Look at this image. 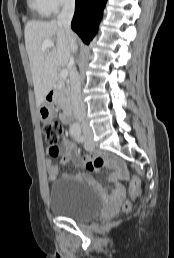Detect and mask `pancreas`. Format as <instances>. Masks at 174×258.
<instances>
[{
  "instance_id": "1",
  "label": "pancreas",
  "mask_w": 174,
  "mask_h": 258,
  "mask_svg": "<svg viewBox=\"0 0 174 258\" xmlns=\"http://www.w3.org/2000/svg\"><path fill=\"white\" fill-rule=\"evenodd\" d=\"M54 103L61 109H67L69 106V87L60 77L57 78Z\"/></svg>"
}]
</instances>
